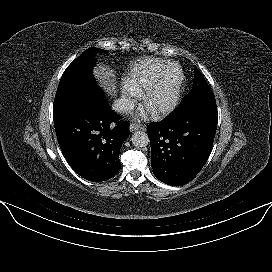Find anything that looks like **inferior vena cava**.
I'll list each match as a JSON object with an SVG mask.
<instances>
[{
	"instance_id": "1",
	"label": "inferior vena cava",
	"mask_w": 272,
	"mask_h": 272,
	"mask_svg": "<svg viewBox=\"0 0 272 272\" xmlns=\"http://www.w3.org/2000/svg\"><path fill=\"white\" fill-rule=\"evenodd\" d=\"M134 101L129 98H119L115 100V102L112 105V108L116 112L120 113H130L134 109Z\"/></svg>"
}]
</instances>
